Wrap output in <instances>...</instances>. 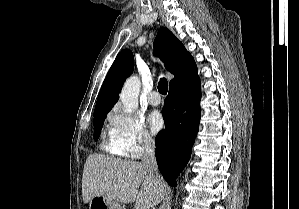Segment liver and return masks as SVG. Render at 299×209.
<instances>
[{"instance_id": "liver-1", "label": "liver", "mask_w": 299, "mask_h": 209, "mask_svg": "<svg viewBox=\"0 0 299 209\" xmlns=\"http://www.w3.org/2000/svg\"><path fill=\"white\" fill-rule=\"evenodd\" d=\"M166 190V182L155 178L139 162L102 154L86 159L82 177L85 203L101 195L118 203L135 202V209H149L161 201Z\"/></svg>"}]
</instances>
